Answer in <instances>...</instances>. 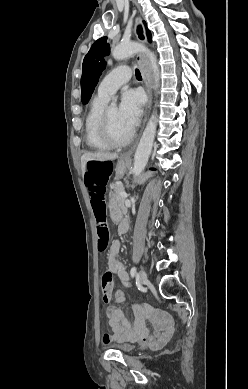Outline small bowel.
Returning <instances> with one entry per match:
<instances>
[{
    "mask_svg": "<svg viewBox=\"0 0 248 389\" xmlns=\"http://www.w3.org/2000/svg\"><path fill=\"white\" fill-rule=\"evenodd\" d=\"M121 224L125 226L126 231V223L123 222ZM119 251V242H113L108 252L107 263L109 269L122 282V279L124 277H129V274L126 271L125 266L118 259ZM125 300V298H113L115 304H122ZM132 308L134 312V321L132 324L126 320L124 311L120 307L111 305L107 308L106 315L109 320V325L112 328L113 335L104 336L103 341L105 344H108L111 341H138L149 348H156L169 340L173 334V320L168 313L152 310L148 306L142 304H134ZM146 321H149L153 326L155 330L154 334H151L146 327Z\"/></svg>",
    "mask_w": 248,
    "mask_h": 389,
    "instance_id": "small-bowel-1",
    "label": "small bowel"
}]
</instances>
